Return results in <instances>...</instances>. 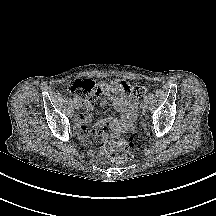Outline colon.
<instances>
[{
    "label": "colon",
    "instance_id": "5ec220e1",
    "mask_svg": "<svg viewBox=\"0 0 216 216\" xmlns=\"http://www.w3.org/2000/svg\"><path fill=\"white\" fill-rule=\"evenodd\" d=\"M67 90L83 102H94L101 94V86L93 80H76L67 86ZM130 91L136 99H141L147 88L142 85L131 86ZM109 126L105 125L100 133L106 135ZM133 138H120L118 140H107L101 145V151L110 158L113 165H122L133 158Z\"/></svg>",
    "mask_w": 216,
    "mask_h": 216
}]
</instances>
